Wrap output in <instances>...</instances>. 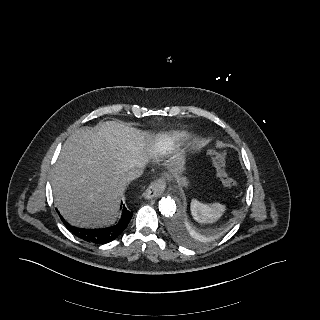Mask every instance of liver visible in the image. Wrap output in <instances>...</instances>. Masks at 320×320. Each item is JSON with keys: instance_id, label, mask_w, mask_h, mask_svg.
<instances>
[{"instance_id": "1", "label": "liver", "mask_w": 320, "mask_h": 320, "mask_svg": "<svg viewBox=\"0 0 320 320\" xmlns=\"http://www.w3.org/2000/svg\"><path fill=\"white\" fill-rule=\"evenodd\" d=\"M147 139L148 134L114 121L70 135L51 180L61 215L77 227L112 223L127 186L126 173L146 165Z\"/></svg>"}]
</instances>
